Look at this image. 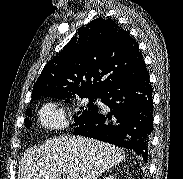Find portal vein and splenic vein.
<instances>
[{
	"instance_id": "1",
	"label": "portal vein and splenic vein",
	"mask_w": 183,
	"mask_h": 179,
	"mask_svg": "<svg viewBox=\"0 0 183 179\" xmlns=\"http://www.w3.org/2000/svg\"><path fill=\"white\" fill-rule=\"evenodd\" d=\"M66 179H71L69 176H67V178Z\"/></svg>"
}]
</instances>
